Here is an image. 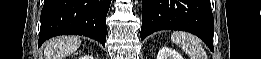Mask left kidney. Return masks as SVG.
Returning <instances> with one entry per match:
<instances>
[{"label":"left kidney","mask_w":261,"mask_h":59,"mask_svg":"<svg viewBox=\"0 0 261 59\" xmlns=\"http://www.w3.org/2000/svg\"><path fill=\"white\" fill-rule=\"evenodd\" d=\"M157 59H183V57L174 49L163 47L159 50Z\"/></svg>","instance_id":"5707ae66"}]
</instances>
